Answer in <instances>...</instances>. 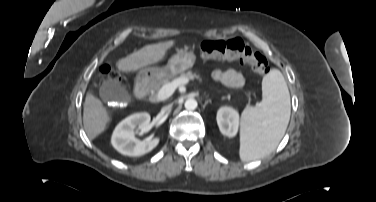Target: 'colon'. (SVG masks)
Here are the masks:
<instances>
[{"label":"colon","instance_id":"1","mask_svg":"<svg viewBox=\"0 0 376 202\" xmlns=\"http://www.w3.org/2000/svg\"><path fill=\"white\" fill-rule=\"evenodd\" d=\"M198 54L204 59H229L240 60L249 64L254 72L259 75H265L270 71L267 59L257 51L252 50L241 39L233 38L227 41L206 40L197 43ZM101 74L104 78L119 81L121 79L119 72L110 65L101 68Z\"/></svg>","mask_w":376,"mask_h":202}]
</instances>
